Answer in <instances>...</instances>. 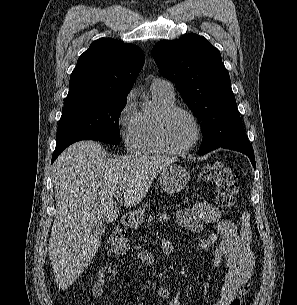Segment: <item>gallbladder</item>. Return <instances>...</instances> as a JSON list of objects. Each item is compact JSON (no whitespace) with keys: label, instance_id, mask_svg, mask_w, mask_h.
<instances>
[{"label":"gallbladder","instance_id":"bac80fb5","mask_svg":"<svg viewBox=\"0 0 297 305\" xmlns=\"http://www.w3.org/2000/svg\"><path fill=\"white\" fill-rule=\"evenodd\" d=\"M105 229H106L105 223L103 221H98L94 226L93 232L95 235L101 236L105 232Z\"/></svg>","mask_w":297,"mask_h":305}]
</instances>
